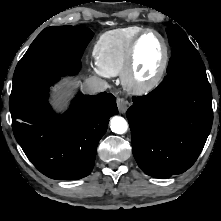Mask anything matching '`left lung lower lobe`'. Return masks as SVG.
I'll use <instances>...</instances> for the list:
<instances>
[{
	"label": "left lung lower lobe",
	"mask_w": 221,
	"mask_h": 221,
	"mask_svg": "<svg viewBox=\"0 0 221 221\" xmlns=\"http://www.w3.org/2000/svg\"><path fill=\"white\" fill-rule=\"evenodd\" d=\"M127 110L133 155L148 175L167 178L189 169L210 133L213 111L207 78H165Z\"/></svg>",
	"instance_id": "1"
}]
</instances>
